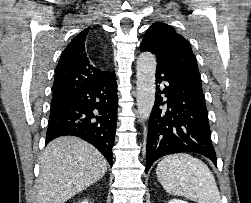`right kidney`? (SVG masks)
I'll return each mask as SVG.
<instances>
[{
  "label": "right kidney",
  "instance_id": "obj_1",
  "mask_svg": "<svg viewBox=\"0 0 251 203\" xmlns=\"http://www.w3.org/2000/svg\"><path fill=\"white\" fill-rule=\"evenodd\" d=\"M81 203H88V201H83V202H81Z\"/></svg>",
  "mask_w": 251,
  "mask_h": 203
}]
</instances>
